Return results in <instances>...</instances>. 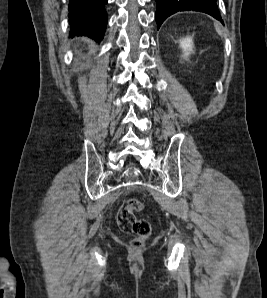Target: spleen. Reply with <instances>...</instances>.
Returning <instances> with one entry per match:
<instances>
[{
  "label": "spleen",
  "instance_id": "3e777b00",
  "mask_svg": "<svg viewBox=\"0 0 267 298\" xmlns=\"http://www.w3.org/2000/svg\"><path fill=\"white\" fill-rule=\"evenodd\" d=\"M214 25H215V28H216L217 33H218L220 36H222V31H221L220 27L218 26V24L215 23Z\"/></svg>",
  "mask_w": 267,
  "mask_h": 298
}]
</instances>
